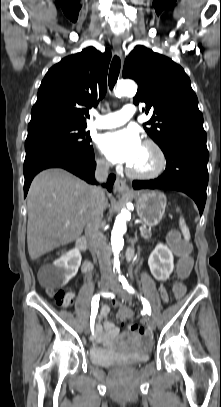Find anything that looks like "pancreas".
Segmentation results:
<instances>
[{
  "instance_id": "pancreas-1",
  "label": "pancreas",
  "mask_w": 221,
  "mask_h": 407,
  "mask_svg": "<svg viewBox=\"0 0 221 407\" xmlns=\"http://www.w3.org/2000/svg\"><path fill=\"white\" fill-rule=\"evenodd\" d=\"M151 230L150 229H146V230H143V231H141V236L144 238V239H149L150 237H151Z\"/></svg>"
}]
</instances>
